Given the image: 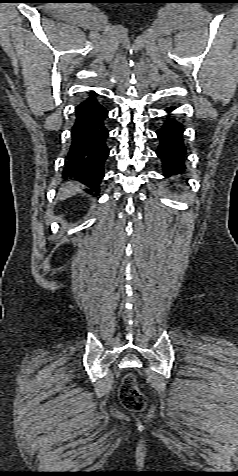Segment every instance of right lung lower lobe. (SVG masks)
Segmentation results:
<instances>
[{
	"label": "right lung lower lobe",
	"instance_id": "right-lung-lower-lobe-1",
	"mask_svg": "<svg viewBox=\"0 0 238 476\" xmlns=\"http://www.w3.org/2000/svg\"><path fill=\"white\" fill-rule=\"evenodd\" d=\"M95 92L75 108L71 129V146L66 156L64 174L76 177L91 188L98 187L104 177V163L109 155L107 139L108 112L99 103ZM96 192H99L96 189Z\"/></svg>",
	"mask_w": 238,
	"mask_h": 476
}]
</instances>
